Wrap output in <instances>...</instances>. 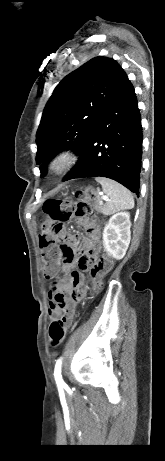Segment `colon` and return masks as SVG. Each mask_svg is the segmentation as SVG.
Returning a JSON list of instances; mask_svg holds the SVG:
<instances>
[{"label": "colon", "mask_w": 165, "mask_h": 461, "mask_svg": "<svg viewBox=\"0 0 165 461\" xmlns=\"http://www.w3.org/2000/svg\"><path fill=\"white\" fill-rule=\"evenodd\" d=\"M95 195L94 190L78 191L76 201L50 199L43 205L44 213L49 217L41 225L40 245L44 249V276L46 279H53L56 275V264L60 260V251L70 250L68 245L60 244L57 237L61 235L62 226L68 218L74 214L78 218H87L92 215V208L88 199ZM93 263L101 270H107L111 261L106 257L93 260ZM101 288L100 282H95L93 289L98 291ZM66 335V326L62 318H55L49 326V338L53 346L61 344Z\"/></svg>", "instance_id": "obj_1"}]
</instances>
